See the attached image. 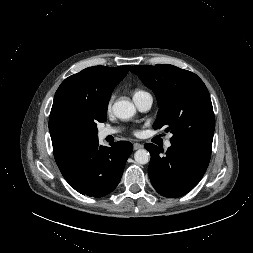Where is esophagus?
<instances>
[{"label":"esophagus","mask_w":253,"mask_h":253,"mask_svg":"<svg viewBox=\"0 0 253 253\" xmlns=\"http://www.w3.org/2000/svg\"><path fill=\"white\" fill-rule=\"evenodd\" d=\"M133 148H134V150H138V149L143 148V145L140 143H134Z\"/></svg>","instance_id":"esophagus-1"}]
</instances>
